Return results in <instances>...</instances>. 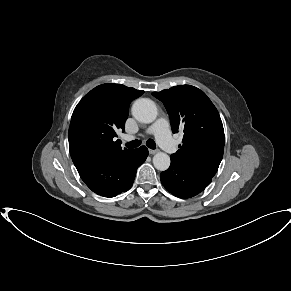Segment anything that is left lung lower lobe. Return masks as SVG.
Masks as SVG:
<instances>
[{"instance_id":"obj_1","label":"left lung lower lobe","mask_w":291,"mask_h":291,"mask_svg":"<svg viewBox=\"0 0 291 291\" xmlns=\"http://www.w3.org/2000/svg\"><path fill=\"white\" fill-rule=\"evenodd\" d=\"M163 186L179 198H190L202 192L212 178L193 173L171 160L170 167L160 174Z\"/></svg>"}]
</instances>
